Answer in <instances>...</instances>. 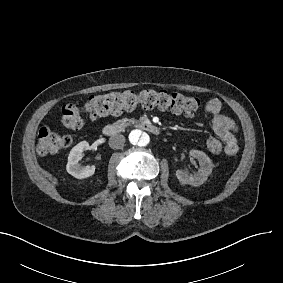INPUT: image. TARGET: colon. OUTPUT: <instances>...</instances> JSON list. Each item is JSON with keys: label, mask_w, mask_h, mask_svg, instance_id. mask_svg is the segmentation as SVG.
<instances>
[{"label": "colon", "mask_w": 283, "mask_h": 283, "mask_svg": "<svg viewBox=\"0 0 283 283\" xmlns=\"http://www.w3.org/2000/svg\"><path fill=\"white\" fill-rule=\"evenodd\" d=\"M146 109H171L185 116H194L202 105V99L179 92L157 91L146 89L142 91L123 90L112 91L94 96L82 106L66 104L61 108L60 123L69 129H80L87 120H93L104 115H120L136 106ZM71 144V137L56 131L43 128L38 132L35 152L44 157L66 150ZM208 151L218 153L222 143L216 137L207 139Z\"/></svg>", "instance_id": "1"}]
</instances>
